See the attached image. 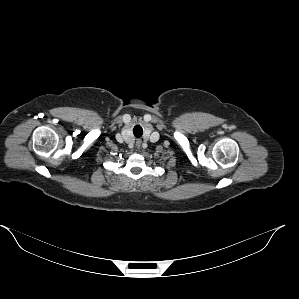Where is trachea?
Returning a JSON list of instances; mask_svg holds the SVG:
<instances>
[{
    "label": "trachea",
    "mask_w": 299,
    "mask_h": 299,
    "mask_svg": "<svg viewBox=\"0 0 299 299\" xmlns=\"http://www.w3.org/2000/svg\"><path fill=\"white\" fill-rule=\"evenodd\" d=\"M133 133L136 137H141L142 133H143V130L140 126H135V128L133 130Z\"/></svg>",
    "instance_id": "trachea-1"
}]
</instances>
